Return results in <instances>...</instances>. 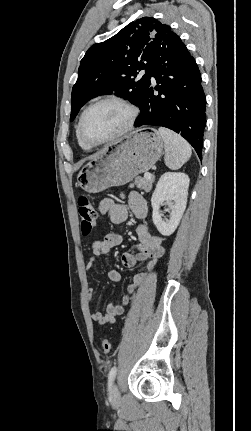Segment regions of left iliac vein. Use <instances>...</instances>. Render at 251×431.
I'll use <instances>...</instances> for the list:
<instances>
[{
  "mask_svg": "<svg viewBox=\"0 0 251 431\" xmlns=\"http://www.w3.org/2000/svg\"><path fill=\"white\" fill-rule=\"evenodd\" d=\"M112 399L116 402L120 400V392L116 384L112 388Z\"/></svg>",
  "mask_w": 251,
  "mask_h": 431,
  "instance_id": "1",
  "label": "left iliac vein"
}]
</instances>
